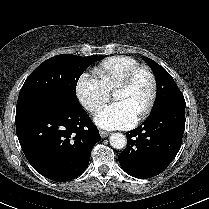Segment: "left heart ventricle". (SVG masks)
I'll list each match as a JSON object with an SVG mask.
<instances>
[{"label":"left heart ventricle","instance_id":"b2bd125f","mask_svg":"<svg viewBox=\"0 0 209 209\" xmlns=\"http://www.w3.org/2000/svg\"><path fill=\"white\" fill-rule=\"evenodd\" d=\"M151 93V81L145 73L137 75L132 85L114 92L116 101H124L137 114L145 108Z\"/></svg>","mask_w":209,"mask_h":209}]
</instances>
